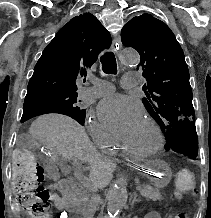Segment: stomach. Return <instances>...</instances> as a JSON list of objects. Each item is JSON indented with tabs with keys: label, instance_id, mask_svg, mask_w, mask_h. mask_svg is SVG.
<instances>
[{
	"label": "stomach",
	"instance_id": "stomach-1",
	"mask_svg": "<svg viewBox=\"0 0 211 218\" xmlns=\"http://www.w3.org/2000/svg\"><path fill=\"white\" fill-rule=\"evenodd\" d=\"M156 188L165 187L171 180L172 172L167 163L160 160L150 162L144 169Z\"/></svg>",
	"mask_w": 211,
	"mask_h": 218
}]
</instances>
